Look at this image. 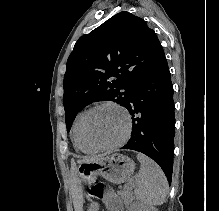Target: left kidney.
<instances>
[{
	"label": "left kidney",
	"mask_w": 219,
	"mask_h": 211,
	"mask_svg": "<svg viewBox=\"0 0 219 211\" xmlns=\"http://www.w3.org/2000/svg\"><path fill=\"white\" fill-rule=\"evenodd\" d=\"M133 211H157L156 207H148V205H143V203H133Z\"/></svg>",
	"instance_id": "1"
}]
</instances>
